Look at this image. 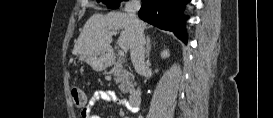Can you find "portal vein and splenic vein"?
I'll return each instance as SVG.
<instances>
[{"mask_svg":"<svg viewBox=\"0 0 273 118\" xmlns=\"http://www.w3.org/2000/svg\"><path fill=\"white\" fill-rule=\"evenodd\" d=\"M113 34H116V32L114 31ZM120 47H121V46H120ZM118 54H119V55H123V54H124V49H123V47H121V49L118 50Z\"/></svg>","mask_w":273,"mask_h":118,"instance_id":"1","label":"portal vein and splenic vein"}]
</instances>
